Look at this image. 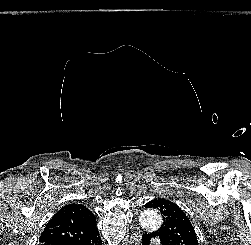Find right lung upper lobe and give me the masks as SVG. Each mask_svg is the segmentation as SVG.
Here are the masks:
<instances>
[{
	"mask_svg": "<svg viewBox=\"0 0 251 245\" xmlns=\"http://www.w3.org/2000/svg\"><path fill=\"white\" fill-rule=\"evenodd\" d=\"M99 234L94 214L81 204L62 207L43 230L41 245H65L96 237Z\"/></svg>",
	"mask_w": 251,
	"mask_h": 245,
	"instance_id": "obj_1",
	"label": "right lung upper lobe"
}]
</instances>
